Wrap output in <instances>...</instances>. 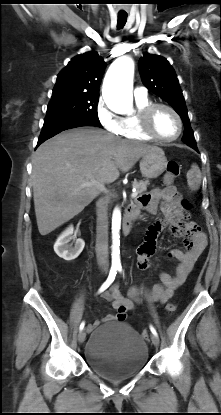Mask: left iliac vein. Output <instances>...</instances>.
I'll return each mask as SVG.
<instances>
[{
	"label": "left iliac vein",
	"mask_w": 221,
	"mask_h": 415,
	"mask_svg": "<svg viewBox=\"0 0 221 415\" xmlns=\"http://www.w3.org/2000/svg\"><path fill=\"white\" fill-rule=\"evenodd\" d=\"M151 340H152V343H153L155 346H158V345H159V338H158V336H157V335L152 334V335H151Z\"/></svg>",
	"instance_id": "left-iliac-vein-1"
}]
</instances>
